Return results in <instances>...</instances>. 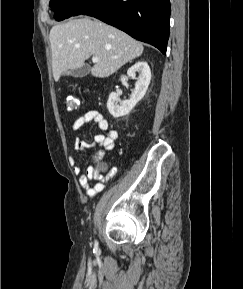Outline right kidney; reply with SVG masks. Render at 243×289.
Listing matches in <instances>:
<instances>
[{"instance_id":"ca27d5eb","label":"right kidney","mask_w":243,"mask_h":289,"mask_svg":"<svg viewBox=\"0 0 243 289\" xmlns=\"http://www.w3.org/2000/svg\"><path fill=\"white\" fill-rule=\"evenodd\" d=\"M137 72L140 74V77L135 84V89L129 100L121 101L119 95L115 92H112L109 95L107 108L113 117L118 118L129 114V112L146 94L151 80V71L148 63L145 61L136 62L128 69L127 75L128 77L135 79Z\"/></svg>"}]
</instances>
